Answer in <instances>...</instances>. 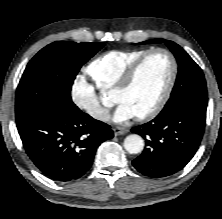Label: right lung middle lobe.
Returning a JSON list of instances; mask_svg holds the SVG:
<instances>
[{"instance_id":"1","label":"right lung middle lobe","mask_w":222,"mask_h":219,"mask_svg":"<svg viewBox=\"0 0 222 219\" xmlns=\"http://www.w3.org/2000/svg\"><path fill=\"white\" fill-rule=\"evenodd\" d=\"M104 43L53 42L28 63L16 92V119L41 109L55 98L71 99L73 81L81 68Z\"/></svg>"}]
</instances>
